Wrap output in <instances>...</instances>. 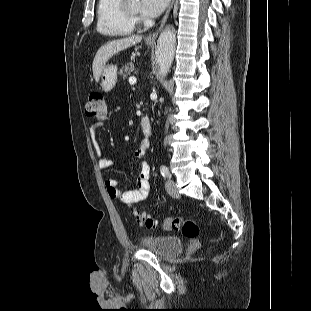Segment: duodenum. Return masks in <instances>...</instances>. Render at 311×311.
Here are the masks:
<instances>
[{
	"instance_id": "obj_1",
	"label": "duodenum",
	"mask_w": 311,
	"mask_h": 311,
	"mask_svg": "<svg viewBox=\"0 0 311 311\" xmlns=\"http://www.w3.org/2000/svg\"><path fill=\"white\" fill-rule=\"evenodd\" d=\"M141 129L144 135V139H148L152 132V124L147 117L141 119Z\"/></svg>"
}]
</instances>
